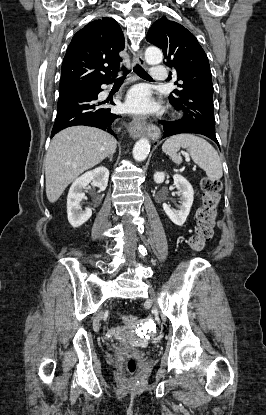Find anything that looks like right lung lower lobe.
I'll return each mask as SVG.
<instances>
[{
    "instance_id": "1",
    "label": "right lung lower lobe",
    "mask_w": 266,
    "mask_h": 415,
    "mask_svg": "<svg viewBox=\"0 0 266 415\" xmlns=\"http://www.w3.org/2000/svg\"><path fill=\"white\" fill-rule=\"evenodd\" d=\"M112 82L113 80L105 82V84H111ZM102 84H95L81 90L59 95L57 116L51 137L60 130L75 125L97 127L116 137L113 126L115 120L120 116L112 113L110 108L105 107V101L99 102L97 100L98 94L102 91ZM110 104L115 105L112 101H110Z\"/></svg>"
}]
</instances>
